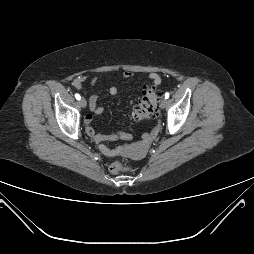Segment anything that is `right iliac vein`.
<instances>
[{
    "instance_id": "63e3f726",
    "label": "right iliac vein",
    "mask_w": 254,
    "mask_h": 254,
    "mask_svg": "<svg viewBox=\"0 0 254 254\" xmlns=\"http://www.w3.org/2000/svg\"><path fill=\"white\" fill-rule=\"evenodd\" d=\"M79 103H80L81 107H83V108H85L86 105H87V102H86V100H85L84 98H81V99L79 100Z\"/></svg>"
}]
</instances>
